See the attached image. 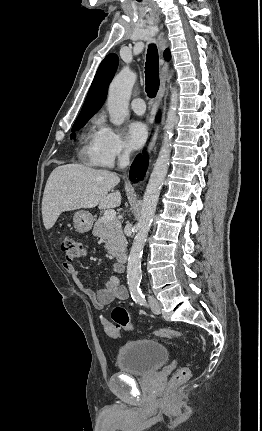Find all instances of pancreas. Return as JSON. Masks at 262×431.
Listing matches in <instances>:
<instances>
[{
    "label": "pancreas",
    "instance_id": "pancreas-1",
    "mask_svg": "<svg viewBox=\"0 0 262 431\" xmlns=\"http://www.w3.org/2000/svg\"><path fill=\"white\" fill-rule=\"evenodd\" d=\"M92 233L94 236L105 240V248L109 253L117 255L125 251L127 241L122 231L121 222L117 218L107 221L104 216L100 217L95 222Z\"/></svg>",
    "mask_w": 262,
    "mask_h": 431
}]
</instances>
